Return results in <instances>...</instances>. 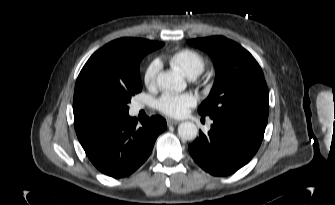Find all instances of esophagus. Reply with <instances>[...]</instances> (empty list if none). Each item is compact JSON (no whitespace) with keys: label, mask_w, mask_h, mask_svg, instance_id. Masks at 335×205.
<instances>
[{"label":"esophagus","mask_w":335,"mask_h":205,"mask_svg":"<svg viewBox=\"0 0 335 205\" xmlns=\"http://www.w3.org/2000/svg\"><path fill=\"white\" fill-rule=\"evenodd\" d=\"M179 123V121L178 120H174V119H167V124L168 125H176V124H178Z\"/></svg>","instance_id":"obj_1"}]
</instances>
